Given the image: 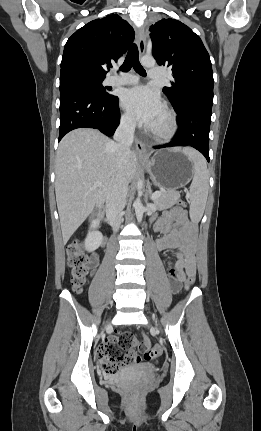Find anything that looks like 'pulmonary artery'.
<instances>
[{"label":"pulmonary artery","instance_id":"e3ab8cb5","mask_svg":"<svg viewBox=\"0 0 261 431\" xmlns=\"http://www.w3.org/2000/svg\"><path fill=\"white\" fill-rule=\"evenodd\" d=\"M164 75V70L160 67H154L149 70V77L151 79H159ZM139 78L133 74H120L118 76H112L107 80V83L111 86L119 85H132L138 83Z\"/></svg>","mask_w":261,"mask_h":431}]
</instances>
